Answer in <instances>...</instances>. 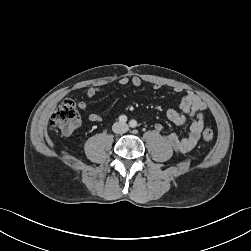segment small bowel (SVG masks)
Segmentation results:
<instances>
[{"label": "small bowel", "mask_w": 251, "mask_h": 251, "mask_svg": "<svg viewBox=\"0 0 251 251\" xmlns=\"http://www.w3.org/2000/svg\"><path fill=\"white\" fill-rule=\"evenodd\" d=\"M119 84L121 86H134L139 87L142 84V80L138 76L123 77L120 79ZM160 84H154L153 89L159 90ZM101 87L93 86L87 90V96L94 98L100 91ZM175 92H182V88L175 87ZM78 107L88 116L91 122H102V116L92 110L87 103L81 101L78 103ZM182 113H179L175 109H168L166 117L169 121L176 125H184L190 121L189 132L186 137L179 138L176 134H170L168 136V142L174 151L178 153L190 152L198 143L201 131L204 126V110L206 109L205 102L192 91H186L179 105ZM155 129L160 132L163 129L161 124H156Z\"/></svg>", "instance_id": "small-bowel-1"}]
</instances>
